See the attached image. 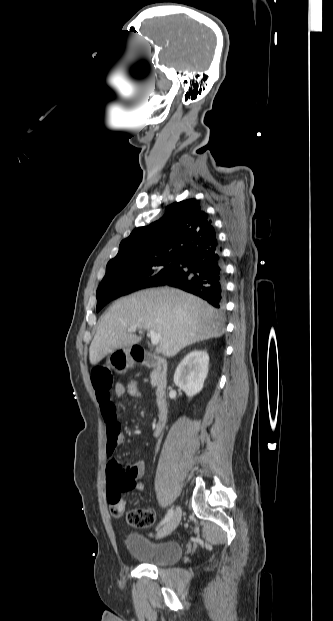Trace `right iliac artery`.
<instances>
[{
  "mask_svg": "<svg viewBox=\"0 0 333 621\" xmlns=\"http://www.w3.org/2000/svg\"><path fill=\"white\" fill-rule=\"evenodd\" d=\"M173 513H174L173 509L172 508L169 509L167 514H166V516H165V518L161 521L159 526L164 525L165 523H167L171 519V517L173 516Z\"/></svg>",
  "mask_w": 333,
  "mask_h": 621,
  "instance_id": "1",
  "label": "right iliac artery"
}]
</instances>
